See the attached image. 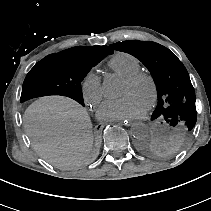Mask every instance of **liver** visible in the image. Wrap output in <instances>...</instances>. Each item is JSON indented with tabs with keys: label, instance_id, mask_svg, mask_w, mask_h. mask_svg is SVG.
<instances>
[{
	"label": "liver",
	"instance_id": "liver-1",
	"mask_svg": "<svg viewBox=\"0 0 211 211\" xmlns=\"http://www.w3.org/2000/svg\"><path fill=\"white\" fill-rule=\"evenodd\" d=\"M23 121L35 150L53 164L76 165L91 148L90 119L85 109L71 99L40 98L28 107Z\"/></svg>",
	"mask_w": 211,
	"mask_h": 211
}]
</instances>
